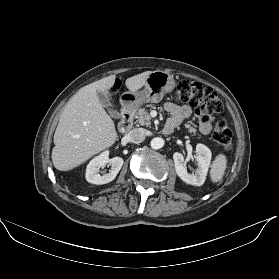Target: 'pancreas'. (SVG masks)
<instances>
[{
	"label": "pancreas",
	"instance_id": "1",
	"mask_svg": "<svg viewBox=\"0 0 279 279\" xmlns=\"http://www.w3.org/2000/svg\"><path fill=\"white\" fill-rule=\"evenodd\" d=\"M147 107H150V109H155V106L152 105V104L147 105ZM136 118H137L136 122L138 124L142 125V126H150L151 125V122H150L151 116H150L148 110H146L144 108L140 109L138 111ZM186 127L188 128V131L190 133H193V135H198V138H201V136L196 133V130L193 127H191L189 125H187Z\"/></svg>",
	"mask_w": 279,
	"mask_h": 279
}]
</instances>
